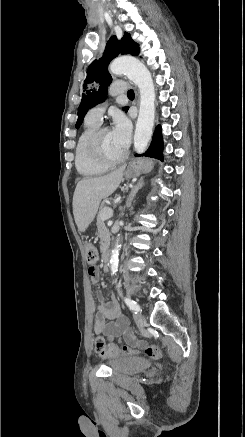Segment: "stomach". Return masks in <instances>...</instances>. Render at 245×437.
I'll return each instance as SVG.
<instances>
[{"label": "stomach", "instance_id": "obj_1", "mask_svg": "<svg viewBox=\"0 0 245 437\" xmlns=\"http://www.w3.org/2000/svg\"><path fill=\"white\" fill-rule=\"evenodd\" d=\"M152 169V163L146 159H137L129 163L124 172L125 178L131 179L142 173L149 172Z\"/></svg>", "mask_w": 245, "mask_h": 437}]
</instances>
